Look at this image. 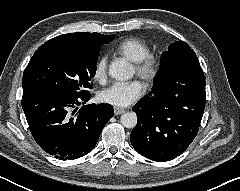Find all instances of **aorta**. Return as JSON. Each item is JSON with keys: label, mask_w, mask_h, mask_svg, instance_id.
<instances>
[{"label": "aorta", "mask_w": 240, "mask_h": 191, "mask_svg": "<svg viewBox=\"0 0 240 191\" xmlns=\"http://www.w3.org/2000/svg\"><path fill=\"white\" fill-rule=\"evenodd\" d=\"M109 75L117 81H126L133 77L134 70L131 64L123 59L113 61L109 66ZM121 124L126 128H134L138 117L135 112H126L120 118Z\"/></svg>", "instance_id": "aorta-1"}]
</instances>
